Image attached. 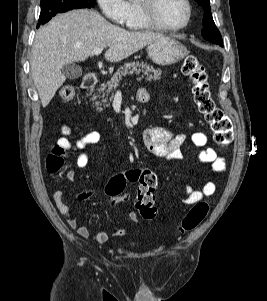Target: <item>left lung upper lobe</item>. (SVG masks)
I'll return each mask as SVG.
<instances>
[{
  "label": "left lung upper lobe",
  "mask_w": 267,
  "mask_h": 301,
  "mask_svg": "<svg viewBox=\"0 0 267 301\" xmlns=\"http://www.w3.org/2000/svg\"><path fill=\"white\" fill-rule=\"evenodd\" d=\"M205 11L203 17L202 36L212 43L222 46V36L217 29L211 14L210 0H195Z\"/></svg>",
  "instance_id": "obj_1"
}]
</instances>
